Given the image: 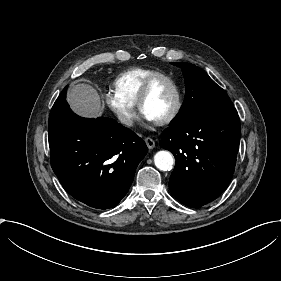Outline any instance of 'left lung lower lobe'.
<instances>
[{
    "instance_id": "0a47b994",
    "label": "left lung lower lobe",
    "mask_w": 281,
    "mask_h": 281,
    "mask_svg": "<svg viewBox=\"0 0 281 281\" xmlns=\"http://www.w3.org/2000/svg\"><path fill=\"white\" fill-rule=\"evenodd\" d=\"M240 120L235 108L167 128L160 145L176 159L169 187L182 204L199 208L228 186L236 164Z\"/></svg>"
}]
</instances>
